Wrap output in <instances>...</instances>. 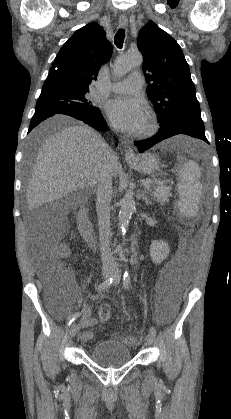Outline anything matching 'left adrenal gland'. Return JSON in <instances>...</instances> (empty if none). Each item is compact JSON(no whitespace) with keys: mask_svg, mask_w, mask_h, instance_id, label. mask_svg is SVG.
<instances>
[{"mask_svg":"<svg viewBox=\"0 0 231 419\" xmlns=\"http://www.w3.org/2000/svg\"><path fill=\"white\" fill-rule=\"evenodd\" d=\"M140 197H142L143 201H144L147 205L152 204V203H151V201H149V199H148V197H147V196H145V197H144V192H142V193L140 194Z\"/></svg>","mask_w":231,"mask_h":419,"instance_id":"left-adrenal-gland-1","label":"left adrenal gland"}]
</instances>
